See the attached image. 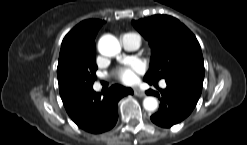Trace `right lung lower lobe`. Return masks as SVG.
Segmentation results:
<instances>
[{
    "label": "right lung lower lobe",
    "instance_id": "right-lung-lower-lobe-1",
    "mask_svg": "<svg viewBox=\"0 0 247 145\" xmlns=\"http://www.w3.org/2000/svg\"><path fill=\"white\" fill-rule=\"evenodd\" d=\"M128 94H133L131 88L113 85L103 96L90 88L79 91L62 101L68 115L78 127L97 134L110 130L116 124L117 103Z\"/></svg>",
    "mask_w": 247,
    "mask_h": 145
}]
</instances>
